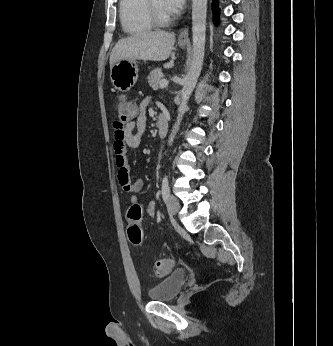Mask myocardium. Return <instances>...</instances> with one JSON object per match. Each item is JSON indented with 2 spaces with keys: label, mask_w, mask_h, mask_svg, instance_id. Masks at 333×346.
<instances>
[{
  "label": "myocardium",
  "mask_w": 333,
  "mask_h": 346,
  "mask_svg": "<svg viewBox=\"0 0 333 346\" xmlns=\"http://www.w3.org/2000/svg\"><path fill=\"white\" fill-rule=\"evenodd\" d=\"M146 1H147L148 11L153 23H155L158 26H165L170 23V21L172 20L170 15L161 14L158 11L157 7L155 6L153 0H146Z\"/></svg>",
  "instance_id": "f54148a6"
}]
</instances>
